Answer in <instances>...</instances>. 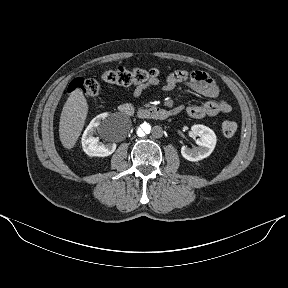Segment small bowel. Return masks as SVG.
<instances>
[{
	"instance_id": "small-bowel-1",
	"label": "small bowel",
	"mask_w": 288,
	"mask_h": 288,
	"mask_svg": "<svg viewBox=\"0 0 288 288\" xmlns=\"http://www.w3.org/2000/svg\"><path fill=\"white\" fill-rule=\"evenodd\" d=\"M179 85H184L209 99L201 105H189L185 108L178 106L175 108L177 113L185 110L190 117L200 119L205 116H215L231 111V105L226 99H217L220 94L217 82L203 71L175 70L166 73L163 81L156 75L149 81L136 85L132 94L135 98H138L150 87H158L163 91H172Z\"/></svg>"
}]
</instances>
